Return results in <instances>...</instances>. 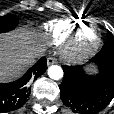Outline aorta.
I'll return each instance as SVG.
<instances>
[{
	"instance_id": "1",
	"label": "aorta",
	"mask_w": 114,
	"mask_h": 114,
	"mask_svg": "<svg viewBox=\"0 0 114 114\" xmlns=\"http://www.w3.org/2000/svg\"><path fill=\"white\" fill-rule=\"evenodd\" d=\"M48 75L51 79L59 80L63 77V70L60 66L52 65L48 68Z\"/></svg>"
}]
</instances>
